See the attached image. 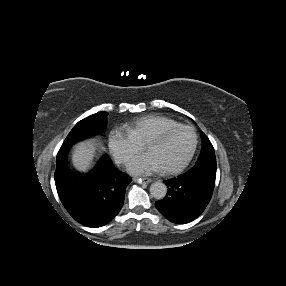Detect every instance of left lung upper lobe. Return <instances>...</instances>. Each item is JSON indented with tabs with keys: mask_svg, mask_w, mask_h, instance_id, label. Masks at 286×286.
Instances as JSON below:
<instances>
[{
	"mask_svg": "<svg viewBox=\"0 0 286 286\" xmlns=\"http://www.w3.org/2000/svg\"><path fill=\"white\" fill-rule=\"evenodd\" d=\"M209 159H215L214 148L208 137L202 133V150L196 164Z\"/></svg>",
	"mask_w": 286,
	"mask_h": 286,
	"instance_id": "obj_1",
	"label": "left lung upper lobe"
}]
</instances>
